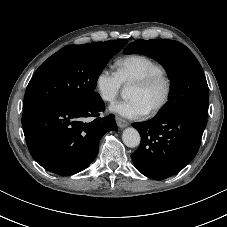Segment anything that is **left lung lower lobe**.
Returning <instances> with one entry per match:
<instances>
[{
	"instance_id": "obj_1",
	"label": "left lung lower lobe",
	"mask_w": 227,
	"mask_h": 227,
	"mask_svg": "<svg viewBox=\"0 0 227 227\" xmlns=\"http://www.w3.org/2000/svg\"><path fill=\"white\" fill-rule=\"evenodd\" d=\"M206 124V118L187 113L134 123L141 134L132 154L135 167L155 180L175 175L196 156Z\"/></svg>"
}]
</instances>
